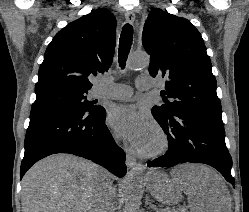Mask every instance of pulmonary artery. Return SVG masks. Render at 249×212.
I'll list each match as a JSON object with an SVG mask.
<instances>
[{
  "label": "pulmonary artery",
  "instance_id": "e3ab8cb5",
  "mask_svg": "<svg viewBox=\"0 0 249 212\" xmlns=\"http://www.w3.org/2000/svg\"><path fill=\"white\" fill-rule=\"evenodd\" d=\"M147 75H140L136 78V87L140 91L154 87V82H145ZM92 98H110L123 100L132 96L133 89L129 85L114 82L107 75L97 76V85L90 92Z\"/></svg>",
  "mask_w": 249,
  "mask_h": 212
}]
</instances>
